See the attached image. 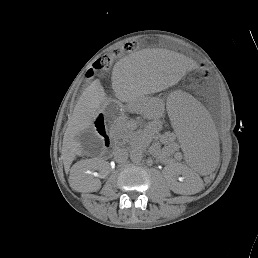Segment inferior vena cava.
Wrapping results in <instances>:
<instances>
[{
    "mask_svg": "<svg viewBox=\"0 0 258 258\" xmlns=\"http://www.w3.org/2000/svg\"><path fill=\"white\" fill-rule=\"evenodd\" d=\"M127 158H128V152H126V150L124 149H119L114 154V159L118 163L126 162Z\"/></svg>",
    "mask_w": 258,
    "mask_h": 258,
    "instance_id": "obj_1",
    "label": "inferior vena cava"
}]
</instances>
